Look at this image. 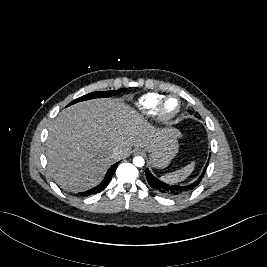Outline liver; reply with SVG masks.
<instances>
[{
	"label": "liver",
	"instance_id": "obj_1",
	"mask_svg": "<svg viewBox=\"0 0 267 267\" xmlns=\"http://www.w3.org/2000/svg\"><path fill=\"white\" fill-rule=\"evenodd\" d=\"M168 133L115 99L80 102L62 110L49 128L48 169L64 190L84 191L96 186L112 164L129 156L133 146L155 148ZM115 148L122 151L118 157L113 155Z\"/></svg>",
	"mask_w": 267,
	"mask_h": 267
}]
</instances>
